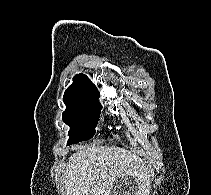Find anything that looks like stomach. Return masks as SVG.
<instances>
[{
    "instance_id": "0dacf381",
    "label": "stomach",
    "mask_w": 211,
    "mask_h": 195,
    "mask_svg": "<svg viewBox=\"0 0 211 195\" xmlns=\"http://www.w3.org/2000/svg\"><path fill=\"white\" fill-rule=\"evenodd\" d=\"M116 187L117 188H122L123 185L127 186V185H133L134 187H136L137 185L128 177H125V178H122L120 180H118L116 183H115ZM118 195H126L125 192H121V191H118Z\"/></svg>"
}]
</instances>
